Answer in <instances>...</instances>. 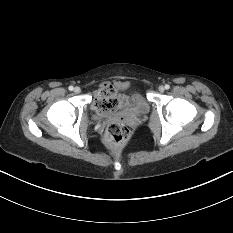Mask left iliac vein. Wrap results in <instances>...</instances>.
I'll return each instance as SVG.
<instances>
[{"mask_svg": "<svg viewBox=\"0 0 233 233\" xmlns=\"http://www.w3.org/2000/svg\"><path fill=\"white\" fill-rule=\"evenodd\" d=\"M158 89H159L160 92H164V90H165L164 86H159Z\"/></svg>", "mask_w": 233, "mask_h": 233, "instance_id": "left-iliac-vein-1", "label": "left iliac vein"}]
</instances>
